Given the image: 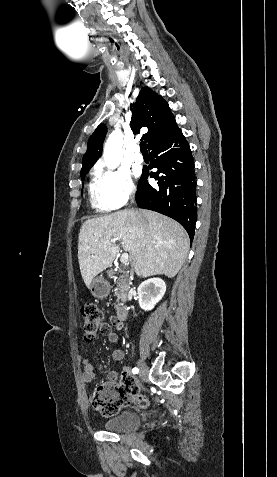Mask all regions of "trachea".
I'll use <instances>...</instances> for the list:
<instances>
[{"label": "trachea", "mask_w": 277, "mask_h": 477, "mask_svg": "<svg viewBox=\"0 0 277 477\" xmlns=\"http://www.w3.org/2000/svg\"><path fill=\"white\" fill-rule=\"evenodd\" d=\"M140 149H141V152H142V153H148V151H147V145H146V142H145V141H142V142L140 143Z\"/></svg>", "instance_id": "obj_1"}]
</instances>
